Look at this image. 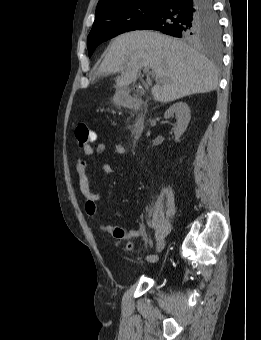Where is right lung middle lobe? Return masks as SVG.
I'll use <instances>...</instances> for the list:
<instances>
[{
	"label": "right lung middle lobe",
	"mask_w": 261,
	"mask_h": 340,
	"mask_svg": "<svg viewBox=\"0 0 261 340\" xmlns=\"http://www.w3.org/2000/svg\"><path fill=\"white\" fill-rule=\"evenodd\" d=\"M162 0L137 1L105 11L95 18L87 44L89 57L102 42L121 33L135 30L157 11ZM191 42L207 41L219 44L221 30L215 12L195 15L187 20L181 36Z\"/></svg>",
	"instance_id": "obj_1"
}]
</instances>
